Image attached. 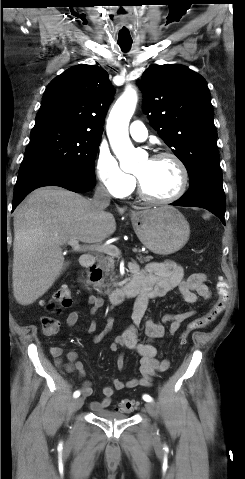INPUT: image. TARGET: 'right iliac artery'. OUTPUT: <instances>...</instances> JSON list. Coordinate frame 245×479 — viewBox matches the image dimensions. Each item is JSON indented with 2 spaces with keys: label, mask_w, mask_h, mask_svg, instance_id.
<instances>
[{
  "label": "right iliac artery",
  "mask_w": 245,
  "mask_h": 479,
  "mask_svg": "<svg viewBox=\"0 0 245 479\" xmlns=\"http://www.w3.org/2000/svg\"><path fill=\"white\" fill-rule=\"evenodd\" d=\"M80 396V392L79 391H75L74 394H73V397L74 398H77Z\"/></svg>",
  "instance_id": "obj_1"
}]
</instances>
